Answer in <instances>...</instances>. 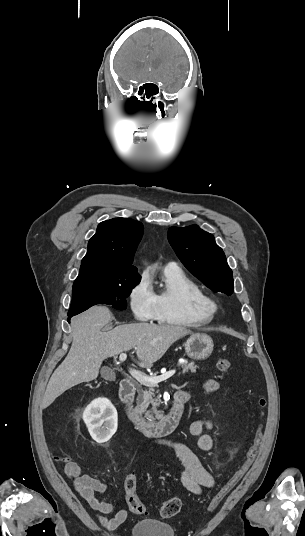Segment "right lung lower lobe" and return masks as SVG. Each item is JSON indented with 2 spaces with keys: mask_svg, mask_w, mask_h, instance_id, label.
Here are the masks:
<instances>
[{
  "mask_svg": "<svg viewBox=\"0 0 305 536\" xmlns=\"http://www.w3.org/2000/svg\"><path fill=\"white\" fill-rule=\"evenodd\" d=\"M74 315H76V314H75V313H68V321H69V322H70V318H71L72 316H74Z\"/></svg>",
  "mask_w": 305,
  "mask_h": 536,
  "instance_id": "right-lung-lower-lobe-1",
  "label": "right lung lower lobe"
}]
</instances>
